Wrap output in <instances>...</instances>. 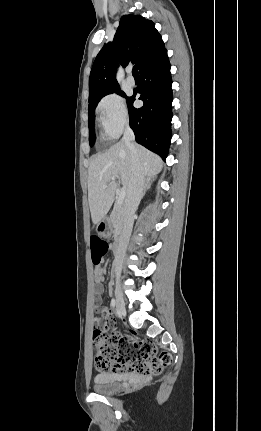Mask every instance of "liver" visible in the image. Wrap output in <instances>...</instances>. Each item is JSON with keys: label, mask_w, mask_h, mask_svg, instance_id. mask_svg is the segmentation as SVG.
I'll return each instance as SVG.
<instances>
[{"label": "liver", "mask_w": 261, "mask_h": 431, "mask_svg": "<svg viewBox=\"0 0 261 431\" xmlns=\"http://www.w3.org/2000/svg\"><path fill=\"white\" fill-rule=\"evenodd\" d=\"M144 176H155L163 162L154 153L140 145H135ZM112 177H120L127 191L132 180L131 152L124 142L110 147L106 152L96 155L88 170V201L93 224L105 218L114 202L118 183ZM106 186V187H104Z\"/></svg>", "instance_id": "6515ba94"}]
</instances>
